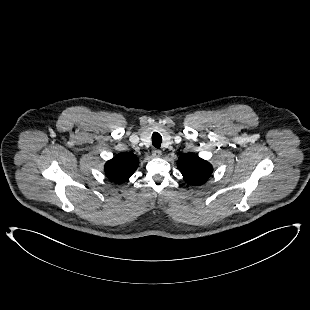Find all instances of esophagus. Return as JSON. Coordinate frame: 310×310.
Masks as SVG:
<instances>
[{
  "mask_svg": "<svg viewBox=\"0 0 310 310\" xmlns=\"http://www.w3.org/2000/svg\"><path fill=\"white\" fill-rule=\"evenodd\" d=\"M152 155H153V157L158 158V157H161L162 152L158 149H155L152 151Z\"/></svg>",
  "mask_w": 310,
  "mask_h": 310,
  "instance_id": "obj_1",
  "label": "esophagus"
}]
</instances>
